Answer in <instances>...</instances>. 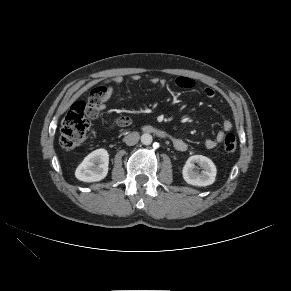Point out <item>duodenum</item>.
Masks as SVG:
<instances>
[{"label":"duodenum","mask_w":291,"mask_h":291,"mask_svg":"<svg viewBox=\"0 0 291 291\" xmlns=\"http://www.w3.org/2000/svg\"><path fill=\"white\" fill-rule=\"evenodd\" d=\"M146 130L155 132L161 138H165L166 137V134L163 131L155 130V129L151 128V127H147Z\"/></svg>","instance_id":"1"}]
</instances>
